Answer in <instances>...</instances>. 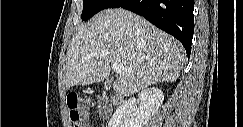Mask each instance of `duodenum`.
<instances>
[{
  "instance_id": "obj_1",
  "label": "duodenum",
  "mask_w": 243,
  "mask_h": 127,
  "mask_svg": "<svg viewBox=\"0 0 243 127\" xmlns=\"http://www.w3.org/2000/svg\"><path fill=\"white\" fill-rule=\"evenodd\" d=\"M124 102V98L121 95H114L112 97V104L114 105V107H118L119 105H121Z\"/></svg>"
}]
</instances>
